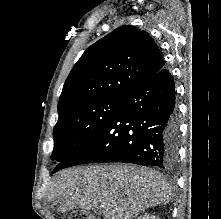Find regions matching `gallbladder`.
Listing matches in <instances>:
<instances>
[{
  "label": "gallbladder",
  "instance_id": "obj_1",
  "mask_svg": "<svg viewBox=\"0 0 221 219\" xmlns=\"http://www.w3.org/2000/svg\"><path fill=\"white\" fill-rule=\"evenodd\" d=\"M94 212H95L96 214L100 215V214H102V209L96 208V209L94 210ZM86 219H91V217H88V218H86Z\"/></svg>",
  "mask_w": 221,
  "mask_h": 219
}]
</instances>
